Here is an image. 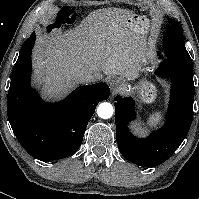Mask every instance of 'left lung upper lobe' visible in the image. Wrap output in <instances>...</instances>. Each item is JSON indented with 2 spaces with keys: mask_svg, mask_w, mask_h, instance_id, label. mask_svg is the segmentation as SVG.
I'll return each instance as SVG.
<instances>
[{
  "mask_svg": "<svg viewBox=\"0 0 199 199\" xmlns=\"http://www.w3.org/2000/svg\"><path fill=\"white\" fill-rule=\"evenodd\" d=\"M171 28L167 33L164 46L167 59H171L184 64L185 66L192 67V60L186 50L184 43V35L181 26L173 19H169ZM159 57L163 58L159 53Z\"/></svg>",
  "mask_w": 199,
  "mask_h": 199,
  "instance_id": "left-lung-upper-lobe-1",
  "label": "left lung upper lobe"
}]
</instances>
